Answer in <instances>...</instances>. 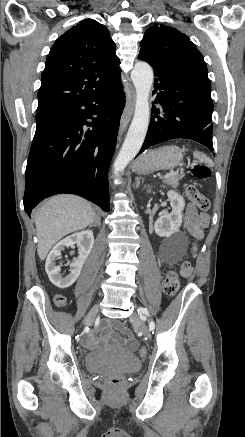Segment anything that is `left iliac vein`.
Here are the masks:
<instances>
[{"instance_id":"4c4485c4","label":"left iliac vein","mask_w":245,"mask_h":437,"mask_svg":"<svg viewBox=\"0 0 245 437\" xmlns=\"http://www.w3.org/2000/svg\"><path fill=\"white\" fill-rule=\"evenodd\" d=\"M130 321L139 328V330L142 332L143 336L146 338H150L151 337V333L150 330L148 329L147 325L145 324V322L139 317V315L137 313H134L131 317H130Z\"/></svg>"}]
</instances>
